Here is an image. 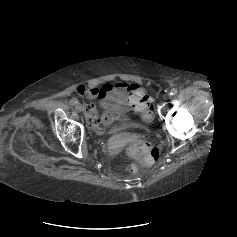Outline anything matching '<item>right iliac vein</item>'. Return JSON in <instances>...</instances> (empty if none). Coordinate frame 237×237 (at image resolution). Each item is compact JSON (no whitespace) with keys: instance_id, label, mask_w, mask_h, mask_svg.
<instances>
[{"instance_id":"obj_1","label":"right iliac vein","mask_w":237,"mask_h":237,"mask_svg":"<svg viewBox=\"0 0 237 237\" xmlns=\"http://www.w3.org/2000/svg\"><path fill=\"white\" fill-rule=\"evenodd\" d=\"M75 109L77 112H82L83 111V106L80 103H77L75 106Z\"/></svg>"}]
</instances>
